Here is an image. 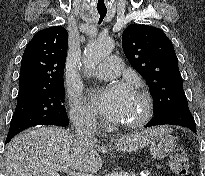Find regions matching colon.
<instances>
[{
  "mask_svg": "<svg viewBox=\"0 0 205 176\" xmlns=\"http://www.w3.org/2000/svg\"><path fill=\"white\" fill-rule=\"evenodd\" d=\"M169 164L172 171L177 176H191L189 173L190 170L189 158L185 150L181 148L175 149L169 157Z\"/></svg>",
  "mask_w": 205,
  "mask_h": 176,
  "instance_id": "colon-1",
  "label": "colon"
}]
</instances>
